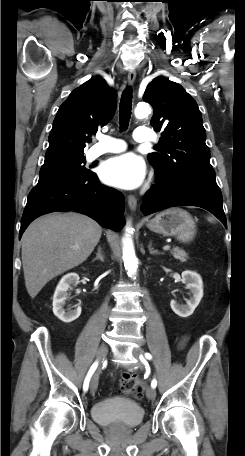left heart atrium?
Listing matches in <instances>:
<instances>
[{
  "label": "left heart atrium",
  "instance_id": "left-heart-atrium-1",
  "mask_svg": "<svg viewBox=\"0 0 245 456\" xmlns=\"http://www.w3.org/2000/svg\"><path fill=\"white\" fill-rule=\"evenodd\" d=\"M146 174L144 161L134 153L108 159L101 168V178L109 185L133 189L142 184Z\"/></svg>",
  "mask_w": 245,
  "mask_h": 456
}]
</instances>
